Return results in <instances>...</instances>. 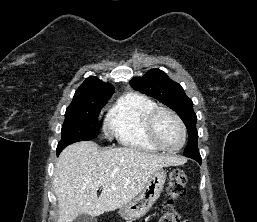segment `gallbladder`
Instances as JSON below:
<instances>
[{
	"label": "gallbladder",
	"mask_w": 257,
	"mask_h": 222,
	"mask_svg": "<svg viewBox=\"0 0 257 222\" xmlns=\"http://www.w3.org/2000/svg\"><path fill=\"white\" fill-rule=\"evenodd\" d=\"M73 222H97L96 218L87 214L78 215Z\"/></svg>",
	"instance_id": "gallbladder-1"
}]
</instances>
